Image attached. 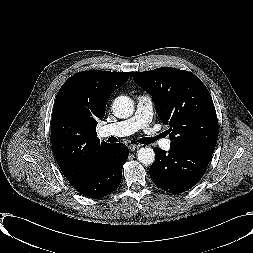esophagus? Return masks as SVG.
Wrapping results in <instances>:
<instances>
[{
  "label": "esophagus",
  "instance_id": "1",
  "mask_svg": "<svg viewBox=\"0 0 253 253\" xmlns=\"http://www.w3.org/2000/svg\"><path fill=\"white\" fill-rule=\"evenodd\" d=\"M128 148H129V150L131 152H134V151H136L137 149L140 148V145H138V144H130Z\"/></svg>",
  "mask_w": 253,
  "mask_h": 253
}]
</instances>
